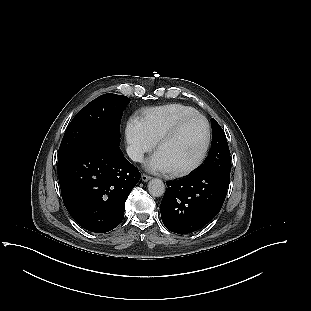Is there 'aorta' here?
I'll return each mask as SVG.
<instances>
[{
  "instance_id": "1",
  "label": "aorta",
  "mask_w": 311,
  "mask_h": 311,
  "mask_svg": "<svg viewBox=\"0 0 311 311\" xmlns=\"http://www.w3.org/2000/svg\"><path fill=\"white\" fill-rule=\"evenodd\" d=\"M148 191L154 197H161L165 193V185L161 179L154 178L148 183Z\"/></svg>"
}]
</instances>
